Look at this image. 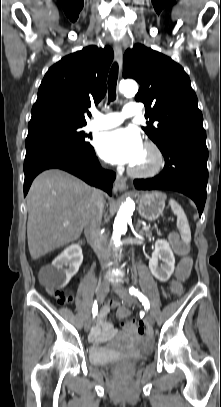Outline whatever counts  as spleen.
<instances>
[{
	"mask_svg": "<svg viewBox=\"0 0 221 407\" xmlns=\"http://www.w3.org/2000/svg\"><path fill=\"white\" fill-rule=\"evenodd\" d=\"M169 204L173 213L177 216V228L180 231L182 240L189 243L191 241V231L184 210L174 199H170Z\"/></svg>",
	"mask_w": 221,
	"mask_h": 407,
	"instance_id": "1",
	"label": "spleen"
}]
</instances>
